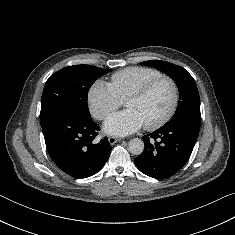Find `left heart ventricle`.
<instances>
[{
	"instance_id": "b2bd125f",
	"label": "left heart ventricle",
	"mask_w": 235,
	"mask_h": 235,
	"mask_svg": "<svg viewBox=\"0 0 235 235\" xmlns=\"http://www.w3.org/2000/svg\"><path fill=\"white\" fill-rule=\"evenodd\" d=\"M171 102L172 89L167 82H161L147 96L128 100L125 106L135 110L143 119L144 124H148L163 116Z\"/></svg>"
}]
</instances>
